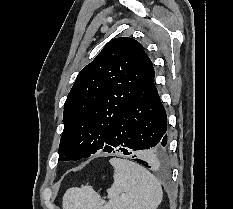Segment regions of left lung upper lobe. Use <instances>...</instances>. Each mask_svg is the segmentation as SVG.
<instances>
[{
    "instance_id": "obj_1",
    "label": "left lung upper lobe",
    "mask_w": 233,
    "mask_h": 209,
    "mask_svg": "<svg viewBox=\"0 0 233 209\" xmlns=\"http://www.w3.org/2000/svg\"><path fill=\"white\" fill-rule=\"evenodd\" d=\"M152 63L132 38H115L78 74L64 104L60 160H79L103 150Z\"/></svg>"
}]
</instances>
